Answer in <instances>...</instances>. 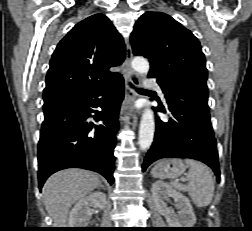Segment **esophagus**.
Wrapping results in <instances>:
<instances>
[{
  "label": "esophagus",
  "mask_w": 252,
  "mask_h": 231,
  "mask_svg": "<svg viewBox=\"0 0 252 231\" xmlns=\"http://www.w3.org/2000/svg\"><path fill=\"white\" fill-rule=\"evenodd\" d=\"M132 58V50L130 44H126V57L123 63L124 73L129 82L133 85H137L139 83L138 77L135 72L132 70L130 62ZM137 94L133 87L129 84H126V93H125V102L124 106L121 109V114H129L133 115L136 111L134 110V103L136 100Z\"/></svg>",
  "instance_id": "1"
}]
</instances>
